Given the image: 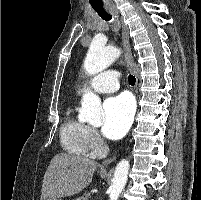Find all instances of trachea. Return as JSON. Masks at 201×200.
<instances>
[{
	"mask_svg": "<svg viewBox=\"0 0 201 200\" xmlns=\"http://www.w3.org/2000/svg\"><path fill=\"white\" fill-rule=\"evenodd\" d=\"M92 7L103 20L110 21L112 19V16L105 10L103 5L92 6ZM128 81L130 85L134 86L136 83L135 76L129 75Z\"/></svg>",
	"mask_w": 201,
	"mask_h": 200,
	"instance_id": "1",
	"label": "trachea"
}]
</instances>
